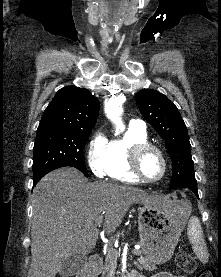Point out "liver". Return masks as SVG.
<instances>
[{"mask_svg": "<svg viewBox=\"0 0 221 277\" xmlns=\"http://www.w3.org/2000/svg\"><path fill=\"white\" fill-rule=\"evenodd\" d=\"M166 200L131 186L89 182L70 167L48 173L34 189L28 277H55L72 254L91 253L99 234L94 223L102 213L110 235L132 204L165 207Z\"/></svg>", "mask_w": 221, "mask_h": 277, "instance_id": "liver-1", "label": "liver"}]
</instances>
